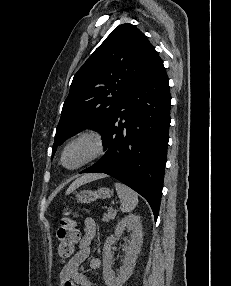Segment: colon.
Instances as JSON below:
<instances>
[{"label": "colon", "instance_id": "obj_1", "mask_svg": "<svg viewBox=\"0 0 231 286\" xmlns=\"http://www.w3.org/2000/svg\"><path fill=\"white\" fill-rule=\"evenodd\" d=\"M57 238L58 255L62 260H66L73 255L75 246L80 239L75 216L69 209L65 210L64 217L60 220Z\"/></svg>", "mask_w": 231, "mask_h": 286}]
</instances>
